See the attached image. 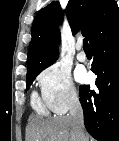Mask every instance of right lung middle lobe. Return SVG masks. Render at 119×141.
<instances>
[{"label": "right lung middle lobe", "mask_w": 119, "mask_h": 141, "mask_svg": "<svg viewBox=\"0 0 119 141\" xmlns=\"http://www.w3.org/2000/svg\"><path fill=\"white\" fill-rule=\"evenodd\" d=\"M40 72H36V73H32V74H28L26 76V89L28 90L30 85L32 84V82L34 81V79L36 78V76L39 74Z\"/></svg>", "instance_id": "1"}]
</instances>
